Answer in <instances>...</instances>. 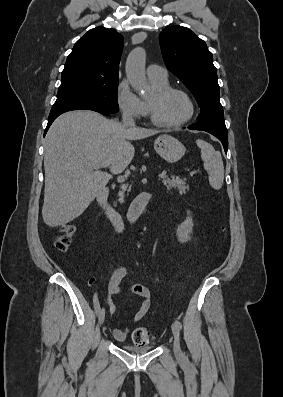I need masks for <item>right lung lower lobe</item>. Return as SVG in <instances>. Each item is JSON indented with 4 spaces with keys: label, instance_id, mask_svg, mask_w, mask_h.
Segmentation results:
<instances>
[{
    "label": "right lung lower lobe",
    "instance_id": "right-lung-lower-lobe-1",
    "mask_svg": "<svg viewBox=\"0 0 283 397\" xmlns=\"http://www.w3.org/2000/svg\"><path fill=\"white\" fill-rule=\"evenodd\" d=\"M80 109H87V110H93L96 112H99L105 116L112 114L109 111H106L100 107L88 105V104H59V105H53L52 109L50 111L49 117H48V124L44 133V136L49 129L50 125L52 122L62 113L71 111V110H80Z\"/></svg>",
    "mask_w": 283,
    "mask_h": 397
}]
</instances>
